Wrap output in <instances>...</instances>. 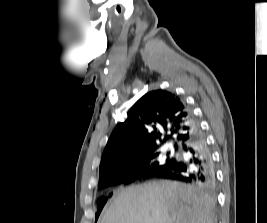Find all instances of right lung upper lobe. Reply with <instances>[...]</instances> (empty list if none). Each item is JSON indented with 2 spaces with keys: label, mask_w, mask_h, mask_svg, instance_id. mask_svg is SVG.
Wrapping results in <instances>:
<instances>
[{
  "label": "right lung upper lobe",
  "mask_w": 267,
  "mask_h": 223,
  "mask_svg": "<svg viewBox=\"0 0 267 223\" xmlns=\"http://www.w3.org/2000/svg\"><path fill=\"white\" fill-rule=\"evenodd\" d=\"M196 133L197 123L178 95L161 89L149 92L112 132L102 155L100 179L116 169L132 175L138 159L157 152L167 140L178 150Z\"/></svg>",
  "instance_id": "1"
}]
</instances>
